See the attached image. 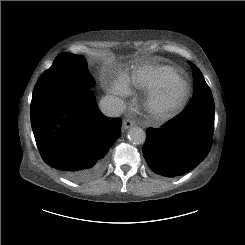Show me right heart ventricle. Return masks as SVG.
I'll return each mask as SVG.
<instances>
[{"label": "right heart ventricle", "instance_id": "obj_1", "mask_svg": "<svg viewBox=\"0 0 245 245\" xmlns=\"http://www.w3.org/2000/svg\"><path fill=\"white\" fill-rule=\"evenodd\" d=\"M178 76L170 67L142 68L130 79L131 83L141 89H159L170 85Z\"/></svg>", "mask_w": 245, "mask_h": 245}]
</instances>
